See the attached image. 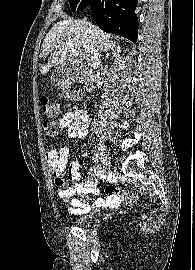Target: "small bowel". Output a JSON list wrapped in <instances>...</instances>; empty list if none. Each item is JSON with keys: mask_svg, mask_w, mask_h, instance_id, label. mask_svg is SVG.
Masks as SVG:
<instances>
[{"mask_svg": "<svg viewBox=\"0 0 195 270\" xmlns=\"http://www.w3.org/2000/svg\"><path fill=\"white\" fill-rule=\"evenodd\" d=\"M59 128H67L68 136L78 140L86 138L88 135L89 119L87 114L80 109L66 112L58 122ZM68 148L61 146L58 149H50L46 153L49 169L54 176L58 186V195L64 202H69V211L73 214H84L91 208L88 194H99V189L94 182L83 177L80 173L78 162H72L67 169ZM68 177L75 183L66 187L64 178ZM106 199L98 198L95 201L96 207L108 206L111 208L119 207L124 199V194L113 185L105 188ZM75 193L79 198H72Z\"/></svg>", "mask_w": 195, "mask_h": 270, "instance_id": "c3829d8e", "label": "small bowel"}]
</instances>
